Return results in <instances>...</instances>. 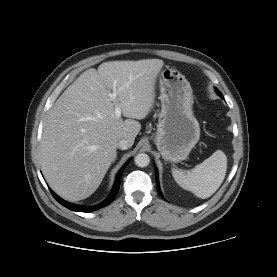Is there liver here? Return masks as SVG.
Wrapping results in <instances>:
<instances>
[{"mask_svg": "<svg viewBox=\"0 0 277 277\" xmlns=\"http://www.w3.org/2000/svg\"><path fill=\"white\" fill-rule=\"evenodd\" d=\"M161 59L109 61L83 72L49 111L41 142L42 172L62 198L79 201L92 195L116 157L117 143L132 146L141 130L134 119L153 108ZM116 89L125 121L110 100Z\"/></svg>", "mask_w": 277, "mask_h": 277, "instance_id": "obj_1", "label": "liver"}]
</instances>
